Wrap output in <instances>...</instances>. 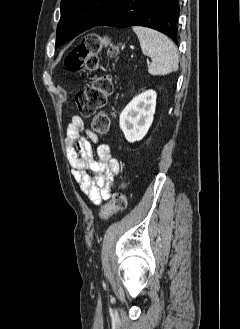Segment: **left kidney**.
<instances>
[{
	"label": "left kidney",
	"instance_id": "1",
	"mask_svg": "<svg viewBox=\"0 0 240 329\" xmlns=\"http://www.w3.org/2000/svg\"><path fill=\"white\" fill-rule=\"evenodd\" d=\"M156 92L153 90L134 97L120 114V128L128 142L140 141L147 134L156 108Z\"/></svg>",
	"mask_w": 240,
	"mask_h": 329
}]
</instances>
